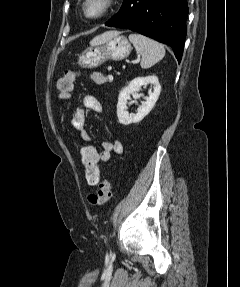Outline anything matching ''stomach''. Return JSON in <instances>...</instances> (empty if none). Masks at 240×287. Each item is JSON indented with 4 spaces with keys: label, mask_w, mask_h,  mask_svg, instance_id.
Wrapping results in <instances>:
<instances>
[{
    "label": "stomach",
    "mask_w": 240,
    "mask_h": 287,
    "mask_svg": "<svg viewBox=\"0 0 240 287\" xmlns=\"http://www.w3.org/2000/svg\"><path fill=\"white\" fill-rule=\"evenodd\" d=\"M131 44L118 31H109L106 35L92 41L79 56L78 64L83 68H95L108 60L119 61L129 56Z\"/></svg>",
    "instance_id": "stomach-1"
}]
</instances>
